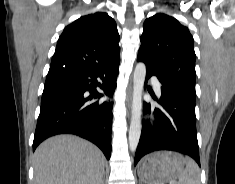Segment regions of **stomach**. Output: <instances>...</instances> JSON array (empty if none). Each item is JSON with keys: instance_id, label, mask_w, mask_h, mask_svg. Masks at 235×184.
<instances>
[{"instance_id": "obj_1", "label": "stomach", "mask_w": 235, "mask_h": 184, "mask_svg": "<svg viewBox=\"0 0 235 184\" xmlns=\"http://www.w3.org/2000/svg\"><path fill=\"white\" fill-rule=\"evenodd\" d=\"M185 158L177 152H155L147 156L138 168V176L146 184H168L175 182L177 176L182 174Z\"/></svg>"}]
</instances>
